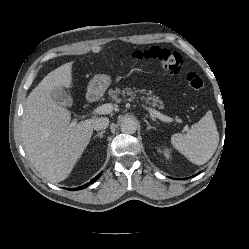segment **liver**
<instances>
[{
  "label": "liver",
  "instance_id": "liver-1",
  "mask_svg": "<svg viewBox=\"0 0 249 249\" xmlns=\"http://www.w3.org/2000/svg\"><path fill=\"white\" fill-rule=\"evenodd\" d=\"M72 64L48 73L26 99L21 135L26 153L36 170L52 183L65 180L90 142L92 122H70L71 114L56 103V88L72 87Z\"/></svg>",
  "mask_w": 249,
  "mask_h": 249
}]
</instances>
